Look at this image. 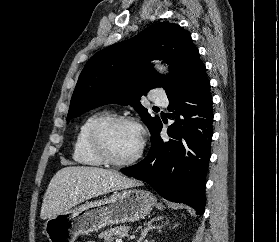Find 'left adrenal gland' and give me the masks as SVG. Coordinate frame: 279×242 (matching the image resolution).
Returning <instances> with one entry per match:
<instances>
[{
    "label": "left adrenal gland",
    "mask_w": 279,
    "mask_h": 242,
    "mask_svg": "<svg viewBox=\"0 0 279 242\" xmlns=\"http://www.w3.org/2000/svg\"><path fill=\"white\" fill-rule=\"evenodd\" d=\"M164 217L162 216H159V217H156V218H153L151 219L150 221H148L146 227L142 230L141 232V236L139 238V240L137 242H141L147 235V233L152 230V229H160L161 227H163V225L159 226V225H153V223L155 221H159V220H162ZM168 222H166L165 224H167Z\"/></svg>",
    "instance_id": "a2214340"
}]
</instances>
